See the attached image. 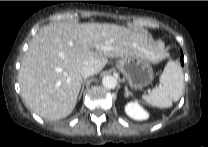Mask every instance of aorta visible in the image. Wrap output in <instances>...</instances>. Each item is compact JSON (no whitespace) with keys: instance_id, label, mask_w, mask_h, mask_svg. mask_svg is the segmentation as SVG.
Instances as JSON below:
<instances>
[{"instance_id":"obj_1","label":"aorta","mask_w":208,"mask_h":147,"mask_svg":"<svg viewBox=\"0 0 208 147\" xmlns=\"http://www.w3.org/2000/svg\"><path fill=\"white\" fill-rule=\"evenodd\" d=\"M102 84L108 89H114L117 85V79L113 76H104L102 79Z\"/></svg>"}]
</instances>
